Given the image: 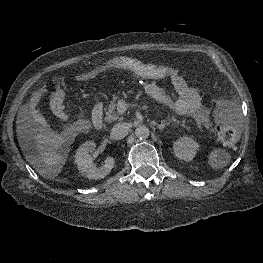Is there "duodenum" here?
<instances>
[{"label":"duodenum","instance_id":"duodenum-1","mask_svg":"<svg viewBox=\"0 0 263 263\" xmlns=\"http://www.w3.org/2000/svg\"><path fill=\"white\" fill-rule=\"evenodd\" d=\"M92 124L95 129L103 126V107L101 103H96L92 108Z\"/></svg>","mask_w":263,"mask_h":263}]
</instances>
